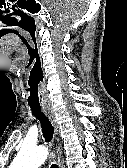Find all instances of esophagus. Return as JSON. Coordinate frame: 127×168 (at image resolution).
Returning <instances> with one entry per match:
<instances>
[{"label": "esophagus", "mask_w": 127, "mask_h": 168, "mask_svg": "<svg viewBox=\"0 0 127 168\" xmlns=\"http://www.w3.org/2000/svg\"><path fill=\"white\" fill-rule=\"evenodd\" d=\"M43 112L45 113V115L51 121V123L54 127V130H55V134L58 135L59 127H58V123L56 121L54 111L52 110V108L50 106H48V107H43ZM57 162H58L59 168H64L62 152H61V149H60L59 145L57 146Z\"/></svg>", "instance_id": "1"}]
</instances>
